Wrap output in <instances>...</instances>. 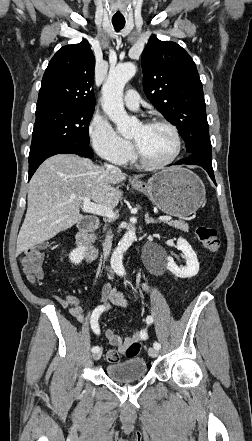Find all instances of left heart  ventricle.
I'll use <instances>...</instances> for the list:
<instances>
[{"label":"left heart ventricle","mask_w":252,"mask_h":441,"mask_svg":"<svg viewBox=\"0 0 252 441\" xmlns=\"http://www.w3.org/2000/svg\"><path fill=\"white\" fill-rule=\"evenodd\" d=\"M131 140L151 162L159 163L169 159L175 150V139L164 126H144L139 124L133 130Z\"/></svg>","instance_id":"b2bd125f"}]
</instances>
